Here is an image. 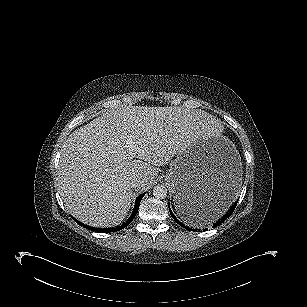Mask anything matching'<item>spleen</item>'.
<instances>
[{
  "instance_id": "obj_1",
  "label": "spleen",
  "mask_w": 307,
  "mask_h": 307,
  "mask_svg": "<svg viewBox=\"0 0 307 307\" xmlns=\"http://www.w3.org/2000/svg\"><path fill=\"white\" fill-rule=\"evenodd\" d=\"M227 208H210L208 210L201 211L199 214L191 215V218L184 219L191 226H201L204 223L212 222L222 216Z\"/></svg>"
}]
</instances>
